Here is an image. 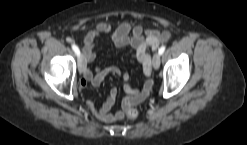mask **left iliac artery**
Here are the masks:
<instances>
[{
  "label": "left iliac artery",
  "mask_w": 247,
  "mask_h": 145,
  "mask_svg": "<svg viewBox=\"0 0 247 145\" xmlns=\"http://www.w3.org/2000/svg\"><path fill=\"white\" fill-rule=\"evenodd\" d=\"M165 49H166V46L163 45V46L159 49V54L162 55V54L164 53Z\"/></svg>",
  "instance_id": "44dca946"
}]
</instances>
